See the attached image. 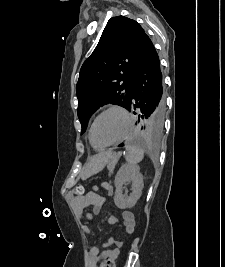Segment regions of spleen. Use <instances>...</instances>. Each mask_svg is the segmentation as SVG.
Instances as JSON below:
<instances>
[{"instance_id": "1", "label": "spleen", "mask_w": 225, "mask_h": 267, "mask_svg": "<svg viewBox=\"0 0 225 267\" xmlns=\"http://www.w3.org/2000/svg\"><path fill=\"white\" fill-rule=\"evenodd\" d=\"M144 157V150L137 146H128L126 148L125 159L129 165H137Z\"/></svg>"}]
</instances>
